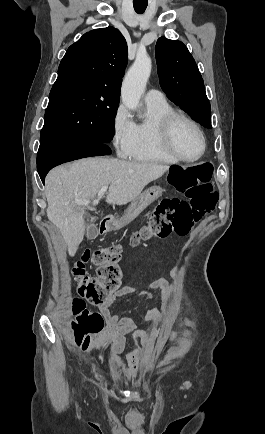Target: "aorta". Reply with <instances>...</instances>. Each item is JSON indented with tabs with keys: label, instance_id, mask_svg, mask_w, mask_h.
Masks as SVG:
<instances>
[{
	"label": "aorta",
	"instance_id": "762f6f07",
	"mask_svg": "<svg viewBox=\"0 0 265 434\" xmlns=\"http://www.w3.org/2000/svg\"><path fill=\"white\" fill-rule=\"evenodd\" d=\"M152 70L149 56H136L134 64L129 68L121 88V98L124 106L135 110L145 92L146 84Z\"/></svg>",
	"mask_w": 265,
	"mask_h": 434
}]
</instances>
